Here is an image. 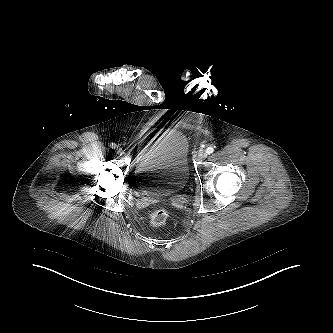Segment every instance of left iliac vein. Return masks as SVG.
Instances as JSON below:
<instances>
[{
	"label": "left iliac vein",
	"mask_w": 333,
	"mask_h": 333,
	"mask_svg": "<svg viewBox=\"0 0 333 333\" xmlns=\"http://www.w3.org/2000/svg\"><path fill=\"white\" fill-rule=\"evenodd\" d=\"M197 155H198L199 159H204V158L207 157V152L205 150L201 149V150L198 151Z\"/></svg>",
	"instance_id": "4c4485c4"
}]
</instances>
